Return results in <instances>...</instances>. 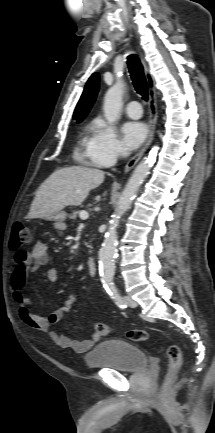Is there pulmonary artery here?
<instances>
[{"mask_svg":"<svg viewBox=\"0 0 215 433\" xmlns=\"http://www.w3.org/2000/svg\"><path fill=\"white\" fill-rule=\"evenodd\" d=\"M126 113L129 117L138 119L142 116V107L140 102L131 101L126 105Z\"/></svg>","mask_w":215,"mask_h":433,"instance_id":"1","label":"pulmonary artery"}]
</instances>
